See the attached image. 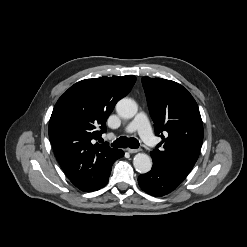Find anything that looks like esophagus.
Returning a JSON list of instances; mask_svg holds the SVG:
<instances>
[{
  "label": "esophagus",
  "mask_w": 247,
  "mask_h": 247,
  "mask_svg": "<svg viewBox=\"0 0 247 247\" xmlns=\"http://www.w3.org/2000/svg\"><path fill=\"white\" fill-rule=\"evenodd\" d=\"M127 151L131 154H134V153H137L140 151V149H131V148H128Z\"/></svg>",
  "instance_id": "obj_1"
}]
</instances>
